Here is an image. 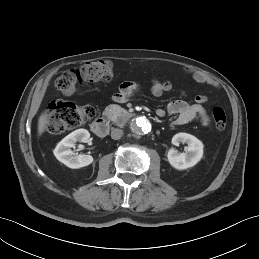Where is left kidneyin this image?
<instances>
[{
  "mask_svg": "<svg viewBox=\"0 0 259 259\" xmlns=\"http://www.w3.org/2000/svg\"><path fill=\"white\" fill-rule=\"evenodd\" d=\"M180 143H186L188 146L186 152L178 153L171 148L168 151V161L172 167L177 170H184L196 165L203 156V143L195 136L187 133H178L173 136L172 144L178 146Z\"/></svg>",
  "mask_w": 259,
  "mask_h": 259,
  "instance_id": "left-kidney-1",
  "label": "left kidney"
}]
</instances>
